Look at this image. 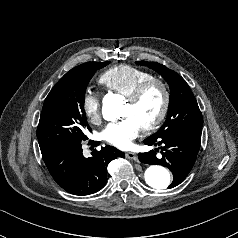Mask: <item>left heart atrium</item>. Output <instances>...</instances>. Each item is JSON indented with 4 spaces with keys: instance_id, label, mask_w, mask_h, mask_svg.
<instances>
[{
    "instance_id": "1",
    "label": "left heart atrium",
    "mask_w": 238,
    "mask_h": 238,
    "mask_svg": "<svg viewBox=\"0 0 238 238\" xmlns=\"http://www.w3.org/2000/svg\"><path fill=\"white\" fill-rule=\"evenodd\" d=\"M141 130L140 125L133 117H125L119 121L112 122L103 130V138L110 144L127 149Z\"/></svg>"
}]
</instances>
